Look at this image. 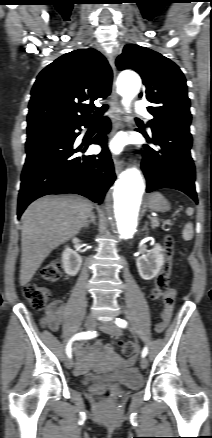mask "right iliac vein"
<instances>
[{
	"label": "right iliac vein",
	"instance_id": "right-iliac-vein-1",
	"mask_svg": "<svg viewBox=\"0 0 212 438\" xmlns=\"http://www.w3.org/2000/svg\"><path fill=\"white\" fill-rule=\"evenodd\" d=\"M85 328L86 329H88V330H94L95 329V327H96V325H97V321H96V319H95V317L94 316H88L87 318H86V320H85ZM65 366L68 368V369H71L72 367H73V361L71 360V358H66L65 359Z\"/></svg>",
	"mask_w": 212,
	"mask_h": 438
}]
</instances>
